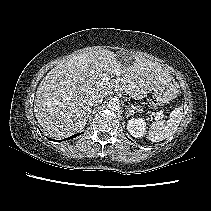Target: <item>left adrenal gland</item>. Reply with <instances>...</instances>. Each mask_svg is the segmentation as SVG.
I'll return each instance as SVG.
<instances>
[{
  "label": "left adrenal gland",
  "instance_id": "left-adrenal-gland-1",
  "mask_svg": "<svg viewBox=\"0 0 211 211\" xmlns=\"http://www.w3.org/2000/svg\"><path fill=\"white\" fill-rule=\"evenodd\" d=\"M128 110V114H127V118L131 115H134L135 114V111L129 107L126 108Z\"/></svg>",
  "mask_w": 211,
  "mask_h": 211
}]
</instances>
